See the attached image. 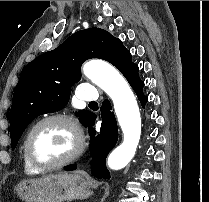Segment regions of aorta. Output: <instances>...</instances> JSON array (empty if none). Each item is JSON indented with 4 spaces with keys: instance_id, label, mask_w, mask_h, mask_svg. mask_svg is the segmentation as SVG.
Listing matches in <instances>:
<instances>
[{
    "instance_id": "aorta-1",
    "label": "aorta",
    "mask_w": 209,
    "mask_h": 202,
    "mask_svg": "<svg viewBox=\"0 0 209 202\" xmlns=\"http://www.w3.org/2000/svg\"><path fill=\"white\" fill-rule=\"evenodd\" d=\"M83 73L113 101L123 142L110 153L107 163L111 169H122L134 157L141 135V117L136 98L125 78L106 62L89 61L83 66Z\"/></svg>"
}]
</instances>
